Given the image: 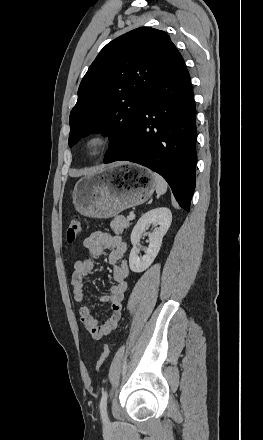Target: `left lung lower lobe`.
Wrapping results in <instances>:
<instances>
[{
    "label": "left lung lower lobe",
    "mask_w": 263,
    "mask_h": 440,
    "mask_svg": "<svg viewBox=\"0 0 263 440\" xmlns=\"http://www.w3.org/2000/svg\"><path fill=\"white\" fill-rule=\"evenodd\" d=\"M196 107L190 75L175 47L135 120L128 149L104 163L131 161L160 174L189 212L196 178Z\"/></svg>",
    "instance_id": "left-lung-lower-lobe-1"
}]
</instances>
